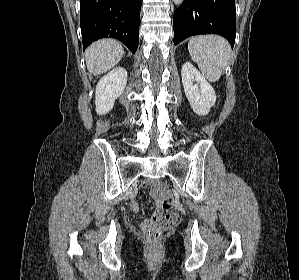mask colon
Wrapping results in <instances>:
<instances>
[{
	"instance_id": "obj_1",
	"label": "colon",
	"mask_w": 299,
	"mask_h": 280,
	"mask_svg": "<svg viewBox=\"0 0 299 280\" xmlns=\"http://www.w3.org/2000/svg\"><path fill=\"white\" fill-rule=\"evenodd\" d=\"M158 186L162 193H166V187L163 183L159 182ZM163 207L164 211L157 213L147 227L148 240L153 245L159 241L165 229L170 228L179 221V214L172 208L170 200H165Z\"/></svg>"
}]
</instances>
